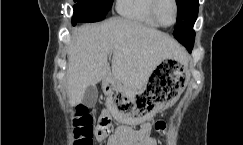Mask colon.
I'll list each match as a JSON object with an SVG mask.
<instances>
[{"label": "colon", "instance_id": "obj_1", "mask_svg": "<svg viewBox=\"0 0 243 145\" xmlns=\"http://www.w3.org/2000/svg\"><path fill=\"white\" fill-rule=\"evenodd\" d=\"M75 145H93V138L105 139L111 132V120L109 116H100L96 126H94L93 115L84 105H79L75 110ZM165 123L161 120L157 121L155 127L157 130L164 129Z\"/></svg>", "mask_w": 243, "mask_h": 145}]
</instances>
